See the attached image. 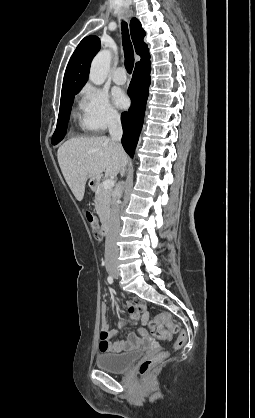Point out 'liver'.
Listing matches in <instances>:
<instances>
[{
  "mask_svg": "<svg viewBox=\"0 0 255 418\" xmlns=\"http://www.w3.org/2000/svg\"><path fill=\"white\" fill-rule=\"evenodd\" d=\"M57 158L62 174L78 201H82L86 181L103 172L117 176L128 157L121 145L106 136L72 138L63 143Z\"/></svg>",
  "mask_w": 255,
  "mask_h": 418,
  "instance_id": "obj_1",
  "label": "liver"
}]
</instances>
